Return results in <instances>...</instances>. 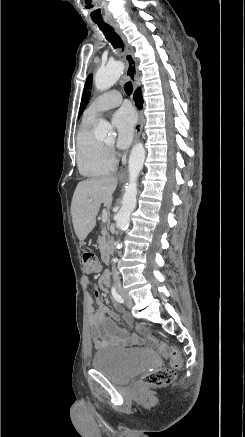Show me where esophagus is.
I'll return each mask as SVG.
<instances>
[{"mask_svg":"<svg viewBox=\"0 0 245 437\" xmlns=\"http://www.w3.org/2000/svg\"><path fill=\"white\" fill-rule=\"evenodd\" d=\"M111 26L115 29L116 33L119 35V37L122 39L125 47L124 51V59L126 61V75L131 80V82L134 84V86H137V76H138V69H137V61L134 57V51L133 48L130 46V44L127 42V39L125 35L123 34L122 30L120 29L119 25L114 22H110ZM143 127V114L141 111H138V119L135 125V136H134V142H137ZM123 175V172L120 174V176Z\"/></svg>","mask_w":245,"mask_h":437,"instance_id":"34e87169","label":"esophagus"}]
</instances>
